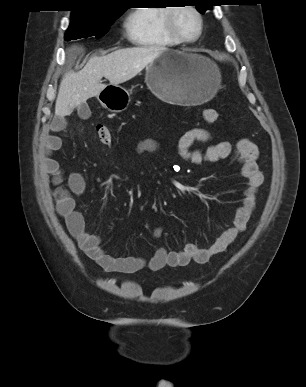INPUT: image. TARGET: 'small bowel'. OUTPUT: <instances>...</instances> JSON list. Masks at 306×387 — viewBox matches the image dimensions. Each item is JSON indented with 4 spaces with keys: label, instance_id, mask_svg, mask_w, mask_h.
<instances>
[{
    "label": "small bowel",
    "instance_id": "1",
    "mask_svg": "<svg viewBox=\"0 0 306 387\" xmlns=\"http://www.w3.org/2000/svg\"><path fill=\"white\" fill-rule=\"evenodd\" d=\"M66 124V118L58 116L48 127L41 152L42 171L50 187L56 211L63 218L68 231L80 249L106 272L135 273L145 267L157 271L164 267L186 266L191 262L204 264L213 256L223 252L246 229L255 208L258 188L263 182V176L257 163L258 148L252 141L243 138L235 146L230 142L222 141L205 150L194 149L195 143H208L212 139L207 129L195 127L179 137L177 155L182 160L195 165L217 162L234 156L240 165L241 175L246 180L241 204L236 210L232 225L206 248H200L194 243H186L179 251L159 248L149 260L141 257H116L108 254L101 246V238L88 232L83 215L76 209L74 196L82 194L86 189L83 175L73 172L65 178L59 161L54 157L55 152L62 146L61 138L55 133L64 130ZM160 149L159 143L152 138L139 141L136 148L140 154L155 153ZM161 232L162 228H157L154 233L159 236Z\"/></svg>",
    "mask_w": 306,
    "mask_h": 387
}]
</instances>
